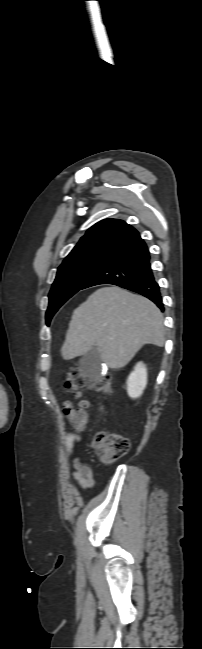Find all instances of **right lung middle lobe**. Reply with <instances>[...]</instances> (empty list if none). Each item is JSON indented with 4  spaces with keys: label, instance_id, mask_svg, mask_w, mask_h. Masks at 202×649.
Masks as SVG:
<instances>
[{
    "label": "right lung middle lobe",
    "instance_id": "1",
    "mask_svg": "<svg viewBox=\"0 0 202 649\" xmlns=\"http://www.w3.org/2000/svg\"><path fill=\"white\" fill-rule=\"evenodd\" d=\"M114 254L108 252H89L64 259L57 271L56 279L49 293V306L46 322L49 325L57 310Z\"/></svg>",
    "mask_w": 202,
    "mask_h": 649
}]
</instances>
